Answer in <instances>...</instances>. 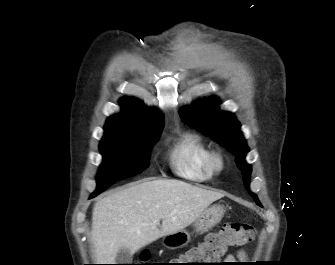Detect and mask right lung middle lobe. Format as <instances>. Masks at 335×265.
I'll return each instance as SVG.
<instances>
[{"mask_svg":"<svg viewBox=\"0 0 335 265\" xmlns=\"http://www.w3.org/2000/svg\"><path fill=\"white\" fill-rule=\"evenodd\" d=\"M163 126L119 129L105 133L100 142L103 155L97 175L95 197L115 181L136 175L149 166L150 149Z\"/></svg>","mask_w":335,"mask_h":265,"instance_id":"right-lung-middle-lobe-1","label":"right lung middle lobe"}]
</instances>
